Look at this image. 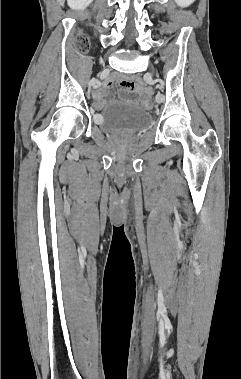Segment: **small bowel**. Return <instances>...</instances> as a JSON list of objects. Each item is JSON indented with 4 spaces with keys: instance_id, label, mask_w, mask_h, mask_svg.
<instances>
[{
    "instance_id": "small-bowel-1",
    "label": "small bowel",
    "mask_w": 241,
    "mask_h": 379,
    "mask_svg": "<svg viewBox=\"0 0 241 379\" xmlns=\"http://www.w3.org/2000/svg\"><path fill=\"white\" fill-rule=\"evenodd\" d=\"M119 83L121 87L129 94L128 97H124L125 100L130 102H136L137 99L133 97V90L135 89V83L128 80H120L117 78H111L107 80L102 87L97 89L94 93L95 107L100 109L105 105V96L107 89L113 84Z\"/></svg>"
}]
</instances>
